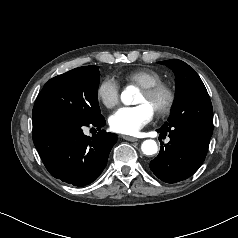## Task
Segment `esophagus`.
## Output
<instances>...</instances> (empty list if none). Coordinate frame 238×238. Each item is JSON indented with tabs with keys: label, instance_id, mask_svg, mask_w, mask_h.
I'll return each mask as SVG.
<instances>
[{
	"label": "esophagus",
	"instance_id": "obj_1",
	"mask_svg": "<svg viewBox=\"0 0 238 238\" xmlns=\"http://www.w3.org/2000/svg\"><path fill=\"white\" fill-rule=\"evenodd\" d=\"M122 137H123V139L128 140V141H131V142L139 141L138 138L131 137V136H125V135H123Z\"/></svg>",
	"mask_w": 238,
	"mask_h": 238
}]
</instances>
